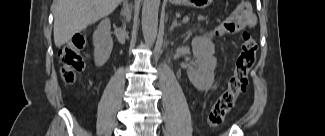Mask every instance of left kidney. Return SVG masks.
<instances>
[{
  "label": "left kidney",
  "instance_id": "5707ae66",
  "mask_svg": "<svg viewBox=\"0 0 325 136\" xmlns=\"http://www.w3.org/2000/svg\"><path fill=\"white\" fill-rule=\"evenodd\" d=\"M192 51L196 60L187 69L188 78L197 90L208 91L214 83L217 66L215 46L209 37L197 36L192 40Z\"/></svg>",
  "mask_w": 325,
  "mask_h": 136
}]
</instances>
